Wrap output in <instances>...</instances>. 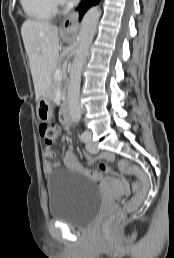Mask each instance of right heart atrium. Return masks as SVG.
I'll use <instances>...</instances> for the list:
<instances>
[{
	"mask_svg": "<svg viewBox=\"0 0 174 258\" xmlns=\"http://www.w3.org/2000/svg\"><path fill=\"white\" fill-rule=\"evenodd\" d=\"M65 0H56V3L59 4V5H62L64 4Z\"/></svg>",
	"mask_w": 174,
	"mask_h": 258,
	"instance_id": "right-heart-atrium-1",
	"label": "right heart atrium"
}]
</instances>
